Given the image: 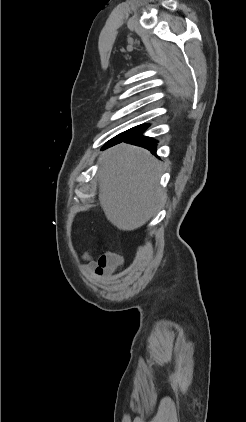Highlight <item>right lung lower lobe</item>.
<instances>
[{
    "label": "right lung lower lobe",
    "instance_id": "1",
    "mask_svg": "<svg viewBox=\"0 0 246 422\" xmlns=\"http://www.w3.org/2000/svg\"><path fill=\"white\" fill-rule=\"evenodd\" d=\"M144 130L138 132L137 134H135V135L123 140V141H119V142H115V143L106 145V146H104L103 149L111 147V146L118 144L120 142H127V143H130V144H134V145L146 148V149L150 150L152 153H155L156 152V140H154L153 138L144 136L143 135Z\"/></svg>",
    "mask_w": 246,
    "mask_h": 422
}]
</instances>
